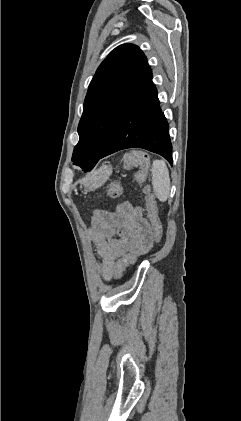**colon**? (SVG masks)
Instances as JSON below:
<instances>
[{
	"label": "colon",
	"instance_id": "obj_1",
	"mask_svg": "<svg viewBox=\"0 0 241 421\" xmlns=\"http://www.w3.org/2000/svg\"><path fill=\"white\" fill-rule=\"evenodd\" d=\"M122 166L124 170H128L131 168H138V171L135 174L136 181L140 184H142L147 176L148 170H149V158L146 153L142 151H132L130 153H127L122 160ZM146 193V209H147V216L150 220L154 234H155V240L159 241L162 237V225L159 221L157 209L155 205V201L152 197V195L149 192V189L146 187L144 189ZM121 188L118 181H112L106 190V195L109 198H117L120 196ZM136 262V257L131 254H126L122 256L118 261L116 265L115 270V276L117 279L122 278L125 270L129 267L134 265Z\"/></svg>",
	"mask_w": 241,
	"mask_h": 421
}]
</instances>
